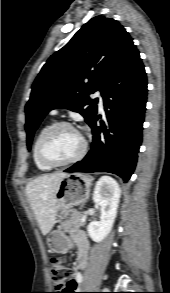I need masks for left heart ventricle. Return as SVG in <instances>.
<instances>
[{
	"label": "left heart ventricle",
	"mask_w": 170,
	"mask_h": 293,
	"mask_svg": "<svg viewBox=\"0 0 170 293\" xmlns=\"http://www.w3.org/2000/svg\"><path fill=\"white\" fill-rule=\"evenodd\" d=\"M82 148V138L79 133L70 128H60L51 134L44 144L45 156L56 162L74 157Z\"/></svg>",
	"instance_id": "b2bd125f"
}]
</instances>
